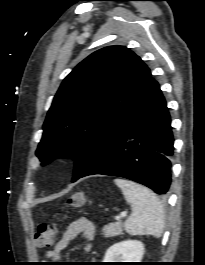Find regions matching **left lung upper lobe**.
<instances>
[{"label": "left lung upper lobe", "mask_w": 205, "mask_h": 265, "mask_svg": "<svg viewBox=\"0 0 205 265\" xmlns=\"http://www.w3.org/2000/svg\"><path fill=\"white\" fill-rule=\"evenodd\" d=\"M151 73L128 48H102L79 63L64 79L43 124L36 155L76 160L73 180L113 134L143 94Z\"/></svg>", "instance_id": "left-lung-upper-lobe-1"}]
</instances>
